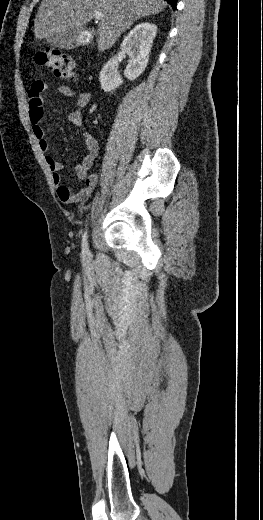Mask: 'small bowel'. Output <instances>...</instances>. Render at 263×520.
Wrapping results in <instances>:
<instances>
[{"label": "small bowel", "instance_id": "c3829d8e", "mask_svg": "<svg viewBox=\"0 0 263 520\" xmlns=\"http://www.w3.org/2000/svg\"><path fill=\"white\" fill-rule=\"evenodd\" d=\"M50 85L42 80L34 81L29 90V118L32 124V131L35 135L39 147L43 152H48L50 145L41 125L44 115L43 94ZM59 94L74 98L75 109L68 114L70 123L80 127L83 130L86 155L82 162L75 167L77 177L85 182V185L78 191H72L68 186L63 184L61 176L62 164L50 155L45 156L46 164L51 171L52 179L57 187L59 199L64 203H75L85 200L96 187L99 175L97 173H89L95 158L99 152V144L95 137L83 129L81 109L90 101V94L86 91H76L67 85L57 87Z\"/></svg>", "mask_w": 263, "mask_h": 520}]
</instances>
